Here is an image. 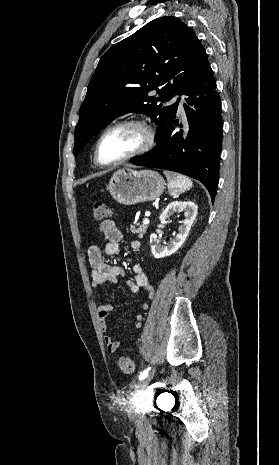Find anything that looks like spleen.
Wrapping results in <instances>:
<instances>
[{"label":"spleen","instance_id":"obj_1","mask_svg":"<svg viewBox=\"0 0 279 465\" xmlns=\"http://www.w3.org/2000/svg\"><path fill=\"white\" fill-rule=\"evenodd\" d=\"M164 174L167 177L168 190L172 196H177L193 186L192 181L183 175L169 171H164Z\"/></svg>","mask_w":279,"mask_h":465}]
</instances>
